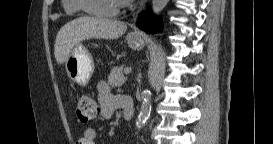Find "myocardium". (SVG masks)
<instances>
[{"instance_id": "1", "label": "myocardium", "mask_w": 273, "mask_h": 144, "mask_svg": "<svg viewBox=\"0 0 273 144\" xmlns=\"http://www.w3.org/2000/svg\"><path fill=\"white\" fill-rule=\"evenodd\" d=\"M77 3L80 10L84 11L89 15L95 16H112L114 14H117L120 10V7L118 6L111 10H100L93 8L91 5V0H77Z\"/></svg>"}]
</instances>
